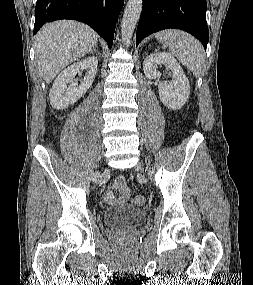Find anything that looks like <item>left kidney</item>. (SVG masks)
<instances>
[{
    "mask_svg": "<svg viewBox=\"0 0 253 285\" xmlns=\"http://www.w3.org/2000/svg\"><path fill=\"white\" fill-rule=\"evenodd\" d=\"M159 65H165L172 72L170 83L160 82ZM144 74L149 79H156L160 101L172 110H178L186 103L190 94L188 78L180 64L169 53L156 52L147 56L143 63Z\"/></svg>",
    "mask_w": 253,
    "mask_h": 285,
    "instance_id": "left-kidney-1",
    "label": "left kidney"
}]
</instances>
